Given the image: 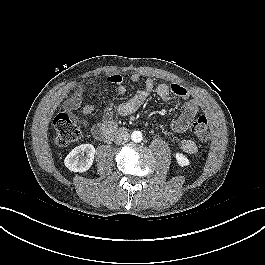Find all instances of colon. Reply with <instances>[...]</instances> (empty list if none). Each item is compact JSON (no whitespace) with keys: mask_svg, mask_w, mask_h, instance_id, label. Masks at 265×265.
<instances>
[{"mask_svg":"<svg viewBox=\"0 0 265 265\" xmlns=\"http://www.w3.org/2000/svg\"><path fill=\"white\" fill-rule=\"evenodd\" d=\"M85 126L86 123L84 121L77 122L65 113L58 114L54 119V140L56 145L64 147L77 141ZM190 129L200 141H206L209 136V122L207 117L198 113L192 121Z\"/></svg>","mask_w":265,"mask_h":265,"instance_id":"5ec220e1","label":"colon"}]
</instances>
